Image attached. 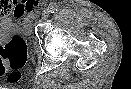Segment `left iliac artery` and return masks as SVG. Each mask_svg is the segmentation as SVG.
<instances>
[{"mask_svg":"<svg viewBox=\"0 0 131 89\" xmlns=\"http://www.w3.org/2000/svg\"><path fill=\"white\" fill-rule=\"evenodd\" d=\"M58 5L56 3H50L48 6V10L51 13H55L56 11H58Z\"/></svg>","mask_w":131,"mask_h":89,"instance_id":"44dca946","label":"left iliac artery"}]
</instances>
